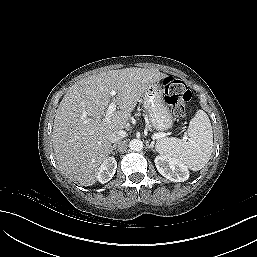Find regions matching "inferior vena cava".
<instances>
[{
	"label": "inferior vena cava",
	"mask_w": 257,
	"mask_h": 257,
	"mask_svg": "<svg viewBox=\"0 0 257 257\" xmlns=\"http://www.w3.org/2000/svg\"><path fill=\"white\" fill-rule=\"evenodd\" d=\"M126 136V132L124 130H119L117 132H115L114 134H112L110 141L112 143H116L119 140H121L122 138H124Z\"/></svg>",
	"instance_id": "inferior-vena-cava-1"
}]
</instances>
